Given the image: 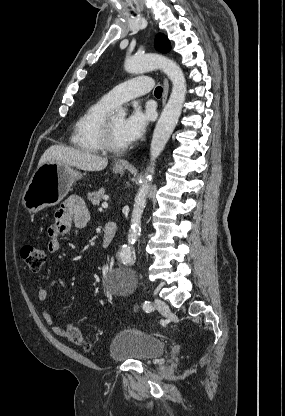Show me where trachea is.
I'll return each instance as SVG.
<instances>
[{
    "label": "trachea",
    "instance_id": "1",
    "mask_svg": "<svg viewBox=\"0 0 285 416\" xmlns=\"http://www.w3.org/2000/svg\"><path fill=\"white\" fill-rule=\"evenodd\" d=\"M162 92H163L162 87H157V88H155L154 94H155L156 97H161Z\"/></svg>",
    "mask_w": 285,
    "mask_h": 416
}]
</instances>
